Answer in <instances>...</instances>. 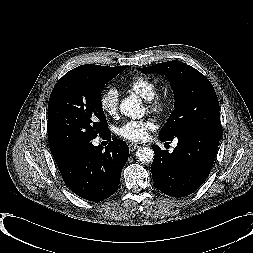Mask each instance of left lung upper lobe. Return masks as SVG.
<instances>
[{
    "instance_id": "left-lung-upper-lobe-1",
    "label": "left lung upper lobe",
    "mask_w": 253,
    "mask_h": 253,
    "mask_svg": "<svg viewBox=\"0 0 253 253\" xmlns=\"http://www.w3.org/2000/svg\"><path fill=\"white\" fill-rule=\"evenodd\" d=\"M169 78L175 95V109L159 136L173 140L194 128L220 131L219 102L209 80L195 68L177 60L140 68Z\"/></svg>"
}]
</instances>
